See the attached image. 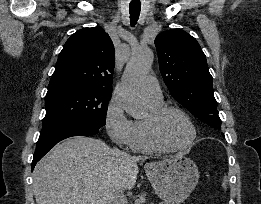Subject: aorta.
Listing matches in <instances>:
<instances>
[{
    "label": "aorta",
    "instance_id": "aorta-1",
    "mask_svg": "<svg viewBox=\"0 0 261 204\" xmlns=\"http://www.w3.org/2000/svg\"><path fill=\"white\" fill-rule=\"evenodd\" d=\"M153 58V51L150 48H139L133 51L118 87L117 94L125 111L135 119L142 118L146 113L138 84L149 72Z\"/></svg>",
    "mask_w": 261,
    "mask_h": 204
}]
</instances>
